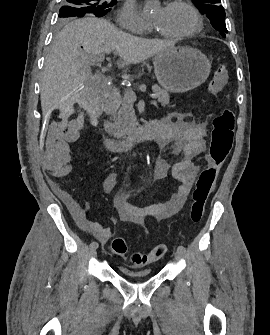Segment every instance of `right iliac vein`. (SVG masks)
<instances>
[{
	"mask_svg": "<svg viewBox=\"0 0 270 335\" xmlns=\"http://www.w3.org/2000/svg\"><path fill=\"white\" fill-rule=\"evenodd\" d=\"M97 248H90V255L92 257H95L97 255V251H96Z\"/></svg>",
	"mask_w": 270,
	"mask_h": 335,
	"instance_id": "63e3f726",
	"label": "right iliac vein"
}]
</instances>
